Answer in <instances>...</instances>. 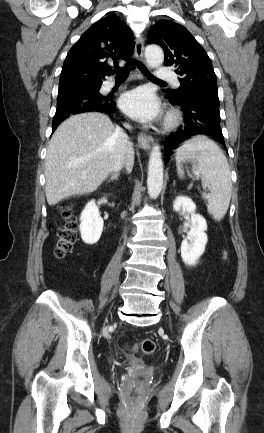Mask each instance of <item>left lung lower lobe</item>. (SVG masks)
Masks as SVG:
<instances>
[{
  "label": "left lung lower lobe",
  "instance_id": "obj_1",
  "mask_svg": "<svg viewBox=\"0 0 264 433\" xmlns=\"http://www.w3.org/2000/svg\"><path fill=\"white\" fill-rule=\"evenodd\" d=\"M172 103L184 112L185 126L182 130L170 134L165 141L164 160L168 161L171 150L191 136L205 135L225 145L220 127L218 96L205 92H192L175 98L169 96Z\"/></svg>",
  "mask_w": 264,
  "mask_h": 433
}]
</instances>
